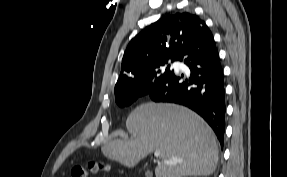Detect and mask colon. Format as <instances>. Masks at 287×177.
<instances>
[{
  "label": "colon",
  "instance_id": "obj_1",
  "mask_svg": "<svg viewBox=\"0 0 287 177\" xmlns=\"http://www.w3.org/2000/svg\"><path fill=\"white\" fill-rule=\"evenodd\" d=\"M109 166L100 162H92L88 167L74 168L71 172L72 177H95L100 172L107 171Z\"/></svg>",
  "mask_w": 287,
  "mask_h": 177
}]
</instances>
